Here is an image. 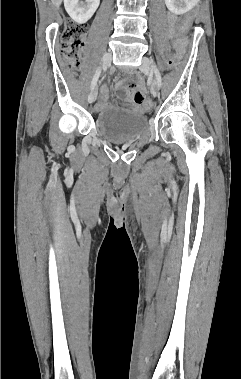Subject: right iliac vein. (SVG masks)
Listing matches in <instances>:
<instances>
[{"mask_svg": "<svg viewBox=\"0 0 241 379\" xmlns=\"http://www.w3.org/2000/svg\"><path fill=\"white\" fill-rule=\"evenodd\" d=\"M112 60L111 53L107 52L102 57V63L104 66H108ZM97 97V89H93L90 94L88 95V102L93 103L96 100Z\"/></svg>", "mask_w": 241, "mask_h": 379, "instance_id": "1", "label": "right iliac vein"}]
</instances>
